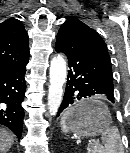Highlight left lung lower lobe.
I'll return each instance as SVG.
<instances>
[{
  "mask_svg": "<svg viewBox=\"0 0 130 153\" xmlns=\"http://www.w3.org/2000/svg\"><path fill=\"white\" fill-rule=\"evenodd\" d=\"M55 50L69 60L66 90L57 116L82 97L100 95L114 103L112 69L96 51L67 35L58 33Z\"/></svg>",
  "mask_w": 130,
  "mask_h": 153,
  "instance_id": "obj_1",
  "label": "left lung lower lobe"
}]
</instances>
